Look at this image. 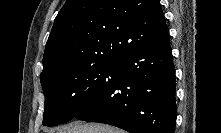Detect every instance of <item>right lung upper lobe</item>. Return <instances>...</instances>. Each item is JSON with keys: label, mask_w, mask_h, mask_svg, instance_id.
I'll return each mask as SVG.
<instances>
[{"label": "right lung upper lobe", "mask_w": 221, "mask_h": 133, "mask_svg": "<svg viewBox=\"0 0 221 133\" xmlns=\"http://www.w3.org/2000/svg\"><path fill=\"white\" fill-rule=\"evenodd\" d=\"M169 38L158 0H67L46 43L41 76L73 64H107Z\"/></svg>", "instance_id": "1"}]
</instances>
